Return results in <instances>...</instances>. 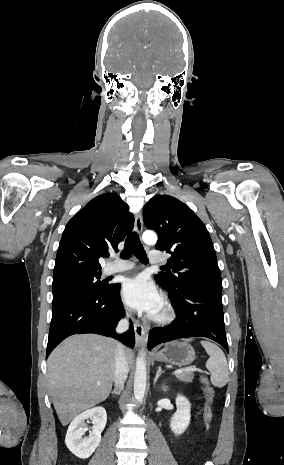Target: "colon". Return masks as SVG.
Returning a JSON list of instances; mask_svg holds the SVG:
<instances>
[{"instance_id":"colon-1","label":"colon","mask_w":284,"mask_h":465,"mask_svg":"<svg viewBox=\"0 0 284 465\" xmlns=\"http://www.w3.org/2000/svg\"><path fill=\"white\" fill-rule=\"evenodd\" d=\"M202 384L204 385V393L207 399L206 404V424H209L210 418L213 413V406H214V391L211 388L208 380L206 377H202Z\"/></svg>"}]
</instances>
